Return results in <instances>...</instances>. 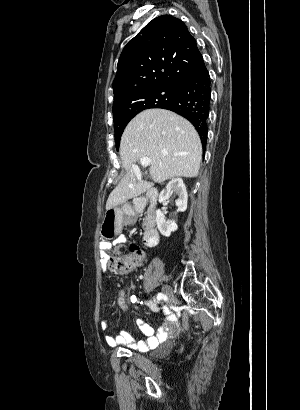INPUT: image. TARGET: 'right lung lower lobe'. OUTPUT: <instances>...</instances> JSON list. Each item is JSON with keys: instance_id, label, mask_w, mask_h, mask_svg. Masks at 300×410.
I'll return each mask as SVG.
<instances>
[{"instance_id": "1", "label": "right lung lower lobe", "mask_w": 300, "mask_h": 410, "mask_svg": "<svg viewBox=\"0 0 300 410\" xmlns=\"http://www.w3.org/2000/svg\"><path fill=\"white\" fill-rule=\"evenodd\" d=\"M211 101V81L202 61L182 81L177 94L168 104L160 108L168 109L189 120L201 138L203 151L207 140V120Z\"/></svg>"}]
</instances>
